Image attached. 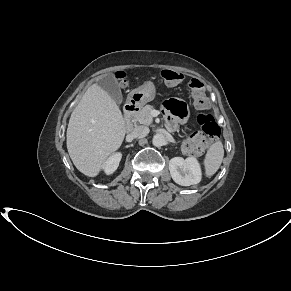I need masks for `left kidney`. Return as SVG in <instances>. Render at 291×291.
I'll return each instance as SVG.
<instances>
[{
    "label": "left kidney",
    "instance_id": "1",
    "mask_svg": "<svg viewBox=\"0 0 291 291\" xmlns=\"http://www.w3.org/2000/svg\"><path fill=\"white\" fill-rule=\"evenodd\" d=\"M169 171L175 183L181 186L195 185L201 181V167L193 156L186 159L182 157L172 158L169 161Z\"/></svg>",
    "mask_w": 291,
    "mask_h": 291
}]
</instances>
